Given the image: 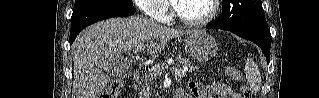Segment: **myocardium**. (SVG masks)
Segmentation results:
<instances>
[{"label": "myocardium", "instance_id": "f54148a6", "mask_svg": "<svg viewBox=\"0 0 319 98\" xmlns=\"http://www.w3.org/2000/svg\"><path fill=\"white\" fill-rule=\"evenodd\" d=\"M211 10L210 12L204 16L203 18L200 19H187L183 17L177 10V8L173 5V15L175 18H177L182 24L188 26V27H201L204 26L208 23H210L218 14L219 8H220V2L219 0H211Z\"/></svg>", "mask_w": 319, "mask_h": 98}]
</instances>
